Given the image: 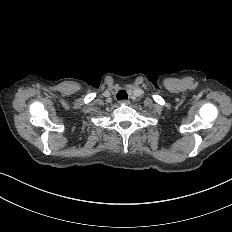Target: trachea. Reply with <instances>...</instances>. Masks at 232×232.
<instances>
[{"instance_id":"3493384b","label":"trachea","mask_w":232,"mask_h":232,"mask_svg":"<svg viewBox=\"0 0 232 232\" xmlns=\"http://www.w3.org/2000/svg\"><path fill=\"white\" fill-rule=\"evenodd\" d=\"M117 99L118 100H122V99H127L128 98V94L125 90H120L118 93H117Z\"/></svg>"}]
</instances>
